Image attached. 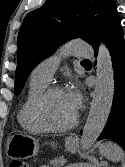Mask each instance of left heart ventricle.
<instances>
[{
	"instance_id": "left-heart-ventricle-1",
	"label": "left heart ventricle",
	"mask_w": 125,
	"mask_h": 167,
	"mask_svg": "<svg viewBox=\"0 0 125 167\" xmlns=\"http://www.w3.org/2000/svg\"><path fill=\"white\" fill-rule=\"evenodd\" d=\"M64 91L54 93L46 102L45 118L53 126H62L68 123L75 115Z\"/></svg>"
}]
</instances>
